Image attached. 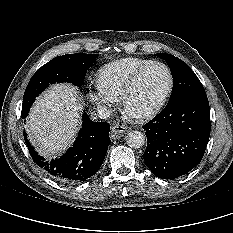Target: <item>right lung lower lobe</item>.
Masks as SVG:
<instances>
[{"label": "right lung lower lobe", "mask_w": 233, "mask_h": 233, "mask_svg": "<svg viewBox=\"0 0 233 233\" xmlns=\"http://www.w3.org/2000/svg\"><path fill=\"white\" fill-rule=\"evenodd\" d=\"M23 118V117H22ZM25 118V117H24ZM109 124L93 122L83 114L82 129L68 151L60 158L45 161L26 140L33 161L38 164L53 179L64 183H76L93 176L103 164L109 139Z\"/></svg>", "instance_id": "obj_1"}]
</instances>
